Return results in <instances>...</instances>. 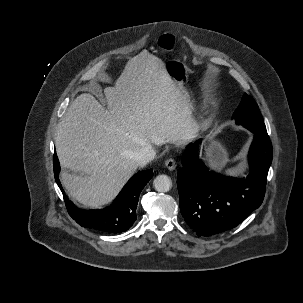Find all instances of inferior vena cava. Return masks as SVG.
Wrapping results in <instances>:
<instances>
[{"mask_svg":"<svg viewBox=\"0 0 303 303\" xmlns=\"http://www.w3.org/2000/svg\"><path fill=\"white\" fill-rule=\"evenodd\" d=\"M156 156L155 150L151 145L141 148L134 154V159L138 166H145L151 162Z\"/></svg>","mask_w":303,"mask_h":303,"instance_id":"1","label":"inferior vena cava"}]
</instances>
